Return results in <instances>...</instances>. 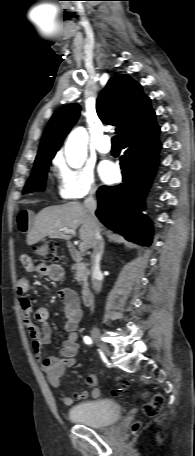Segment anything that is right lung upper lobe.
<instances>
[{
    "label": "right lung upper lobe",
    "instance_id": "cb5924a9",
    "mask_svg": "<svg viewBox=\"0 0 195 456\" xmlns=\"http://www.w3.org/2000/svg\"><path fill=\"white\" fill-rule=\"evenodd\" d=\"M96 110L102 122L117 126L122 141L141 129L155 124V112L150 99L140 84L128 75L113 76L96 101ZM80 106L76 103L61 107L49 121L40 144L35 164L53 158L64 137L76 123Z\"/></svg>",
    "mask_w": 195,
    "mask_h": 456
}]
</instances>
